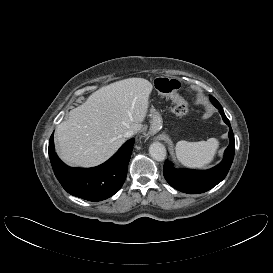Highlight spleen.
Returning <instances> with one entry per match:
<instances>
[{
	"label": "spleen",
	"mask_w": 273,
	"mask_h": 273,
	"mask_svg": "<svg viewBox=\"0 0 273 273\" xmlns=\"http://www.w3.org/2000/svg\"><path fill=\"white\" fill-rule=\"evenodd\" d=\"M219 147L216 138L207 141H179L176 144V157L180 163L189 168H204L211 163Z\"/></svg>",
	"instance_id": "3e777b00"
}]
</instances>
